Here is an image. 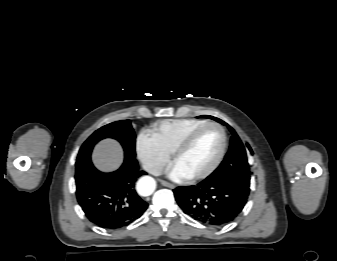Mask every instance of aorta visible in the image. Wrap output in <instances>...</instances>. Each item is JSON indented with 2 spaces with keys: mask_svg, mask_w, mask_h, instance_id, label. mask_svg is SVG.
Instances as JSON below:
<instances>
[{
  "mask_svg": "<svg viewBox=\"0 0 337 261\" xmlns=\"http://www.w3.org/2000/svg\"><path fill=\"white\" fill-rule=\"evenodd\" d=\"M156 188L155 180L150 176L141 177L137 182V191L142 196L151 195Z\"/></svg>",
  "mask_w": 337,
  "mask_h": 261,
  "instance_id": "1",
  "label": "aorta"
}]
</instances>
